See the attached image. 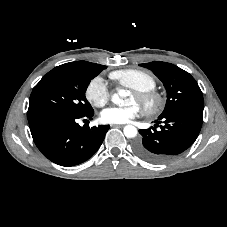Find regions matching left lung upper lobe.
<instances>
[{
	"label": "left lung upper lobe",
	"mask_w": 227,
	"mask_h": 227,
	"mask_svg": "<svg viewBox=\"0 0 227 227\" xmlns=\"http://www.w3.org/2000/svg\"><path fill=\"white\" fill-rule=\"evenodd\" d=\"M139 65L153 71L166 88V106L159 117L180 111L203 112L202 92L188 72L166 62L154 61Z\"/></svg>",
	"instance_id": "1"
}]
</instances>
